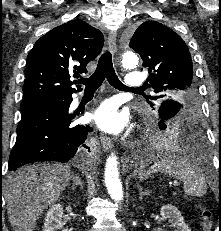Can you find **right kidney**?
<instances>
[{
    "mask_svg": "<svg viewBox=\"0 0 221 231\" xmlns=\"http://www.w3.org/2000/svg\"><path fill=\"white\" fill-rule=\"evenodd\" d=\"M63 208L61 204H54L48 210L45 217L43 231H68L62 223Z\"/></svg>",
    "mask_w": 221,
    "mask_h": 231,
    "instance_id": "right-kidney-1",
    "label": "right kidney"
}]
</instances>
